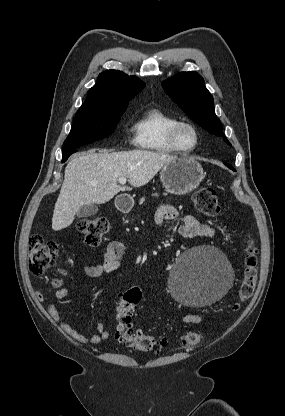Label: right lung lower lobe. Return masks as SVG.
<instances>
[{
    "label": "right lung lower lobe",
    "mask_w": 285,
    "mask_h": 416,
    "mask_svg": "<svg viewBox=\"0 0 285 416\" xmlns=\"http://www.w3.org/2000/svg\"><path fill=\"white\" fill-rule=\"evenodd\" d=\"M75 152L76 150L74 149H68V150L62 151V156H63L62 163H64L67 160V158Z\"/></svg>",
    "instance_id": "right-lung-lower-lobe-1"
}]
</instances>
